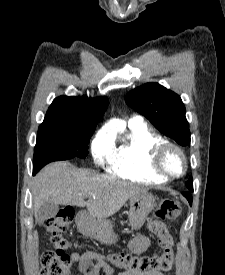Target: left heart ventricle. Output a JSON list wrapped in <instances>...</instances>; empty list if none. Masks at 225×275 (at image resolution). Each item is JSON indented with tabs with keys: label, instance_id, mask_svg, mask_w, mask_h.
Masks as SVG:
<instances>
[{
	"label": "left heart ventricle",
	"instance_id": "1",
	"mask_svg": "<svg viewBox=\"0 0 225 275\" xmlns=\"http://www.w3.org/2000/svg\"><path fill=\"white\" fill-rule=\"evenodd\" d=\"M183 166L182 159L179 154L175 151L169 152L166 157V167L173 173H178L181 171Z\"/></svg>",
	"mask_w": 225,
	"mask_h": 275
}]
</instances>
